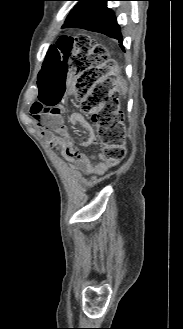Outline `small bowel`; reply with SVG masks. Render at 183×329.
<instances>
[{"label":"small bowel","mask_w":183,"mask_h":329,"mask_svg":"<svg viewBox=\"0 0 183 329\" xmlns=\"http://www.w3.org/2000/svg\"><path fill=\"white\" fill-rule=\"evenodd\" d=\"M36 121L42 127V125L52 126L53 122L50 119H42L39 116H35ZM76 123L88 133V138L80 143L82 147H89L96 143V139L93 136L90 125L82 117L76 118ZM43 128V127H42ZM51 132V131H49ZM58 136L51 138L49 144L59 151L72 165L80 169L86 175H98L107 169L108 165L102 161H94L93 157H88L83 154L73 142L70 132L67 127H57L55 132Z\"/></svg>","instance_id":"c3829d8e"}]
</instances>
